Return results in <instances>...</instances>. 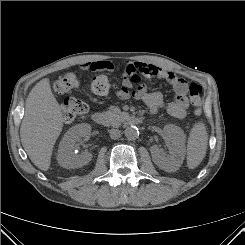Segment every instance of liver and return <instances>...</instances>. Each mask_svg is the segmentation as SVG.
Returning a JSON list of instances; mask_svg holds the SVG:
<instances>
[{"mask_svg":"<svg viewBox=\"0 0 245 245\" xmlns=\"http://www.w3.org/2000/svg\"><path fill=\"white\" fill-rule=\"evenodd\" d=\"M62 128L61 107L52 93L49 79H42L25 101V115L20 127L22 146L39 169H49L53 147Z\"/></svg>","mask_w":245,"mask_h":245,"instance_id":"1","label":"liver"}]
</instances>
